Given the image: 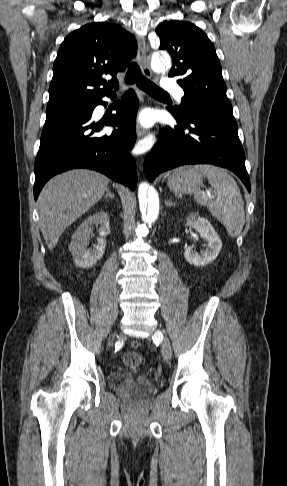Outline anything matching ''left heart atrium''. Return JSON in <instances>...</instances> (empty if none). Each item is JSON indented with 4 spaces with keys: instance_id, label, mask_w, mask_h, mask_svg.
Returning a JSON list of instances; mask_svg holds the SVG:
<instances>
[{
    "instance_id": "obj_1",
    "label": "left heart atrium",
    "mask_w": 287,
    "mask_h": 486,
    "mask_svg": "<svg viewBox=\"0 0 287 486\" xmlns=\"http://www.w3.org/2000/svg\"><path fill=\"white\" fill-rule=\"evenodd\" d=\"M141 121L144 123V124H149L151 122V119L148 115H143L141 117Z\"/></svg>"
}]
</instances>
